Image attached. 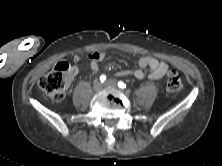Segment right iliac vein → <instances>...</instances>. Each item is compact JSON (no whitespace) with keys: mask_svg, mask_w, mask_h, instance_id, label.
<instances>
[{"mask_svg":"<svg viewBox=\"0 0 222 166\" xmlns=\"http://www.w3.org/2000/svg\"><path fill=\"white\" fill-rule=\"evenodd\" d=\"M103 88V84L100 81L94 82L93 89L95 91H100Z\"/></svg>","mask_w":222,"mask_h":166,"instance_id":"63e3f726","label":"right iliac vein"}]
</instances>
